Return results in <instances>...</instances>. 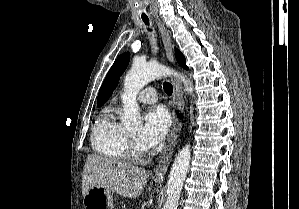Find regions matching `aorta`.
<instances>
[{
  "instance_id": "obj_1",
  "label": "aorta",
  "mask_w": 299,
  "mask_h": 209,
  "mask_svg": "<svg viewBox=\"0 0 299 209\" xmlns=\"http://www.w3.org/2000/svg\"><path fill=\"white\" fill-rule=\"evenodd\" d=\"M174 75L178 77L189 94H193V87L189 79L182 74L160 65L158 63L135 62L124 79V92L121 95L123 102V113L121 122L127 127H141L142 120L139 114V106L136 97L139 91L149 82L164 77ZM191 158L190 144H187L176 155L174 163L169 173L166 202L162 209H177L182 187L189 169Z\"/></svg>"
}]
</instances>
